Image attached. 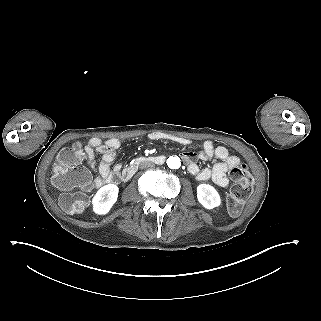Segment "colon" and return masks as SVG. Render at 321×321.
I'll use <instances>...</instances> for the list:
<instances>
[{
	"label": "colon",
	"instance_id": "colon-1",
	"mask_svg": "<svg viewBox=\"0 0 321 321\" xmlns=\"http://www.w3.org/2000/svg\"><path fill=\"white\" fill-rule=\"evenodd\" d=\"M85 156V144L77 141L62 149L53 168V181L59 188L76 191L64 193L60 198L62 208L70 214H80L89 200L90 178L89 173L81 167ZM230 177L234 186L228 197L227 206L231 215H239L246 200L253 189V178L245 164L239 163L230 170Z\"/></svg>",
	"mask_w": 321,
	"mask_h": 321
}]
</instances>
